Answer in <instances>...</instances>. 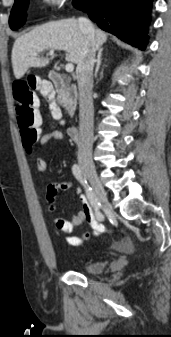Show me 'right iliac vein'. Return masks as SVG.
I'll return each mask as SVG.
<instances>
[{
	"instance_id": "1",
	"label": "right iliac vein",
	"mask_w": 171,
	"mask_h": 337,
	"mask_svg": "<svg viewBox=\"0 0 171 337\" xmlns=\"http://www.w3.org/2000/svg\"><path fill=\"white\" fill-rule=\"evenodd\" d=\"M82 168H83V171H84V174L86 175V177L89 179L93 189H94V192H95V195L98 199V201L103 205V207L105 208H109V203H108V200H107V195H106V192L104 190V187L102 186L98 176H97V173H96V170L93 166L91 165H88L86 163H82Z\"/></svg>"
}]
</instances>
